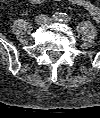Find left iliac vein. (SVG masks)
Segmentation results:
<instances>
[{
	"label": "left iliac vein",
	"mask_w": 100,
	"mask_h": 118,
	"mask_svg": "<svg viewBox=\"0 0 100 118\" xmlns=\"http://www.w3.org/2000/svg\"><path fill=\"white\" fill-rule=\"evenodd\" d=\"M49 21H50V22H53L54 20H53V19H50Z\"/></svg>",
	"instance_id": "1"
}]
</instances>
